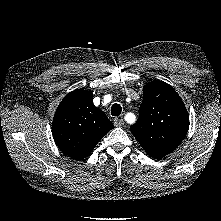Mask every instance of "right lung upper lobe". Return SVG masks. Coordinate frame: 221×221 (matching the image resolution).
I'll return each instance as SVG.
<instances>
[{
  "label": "right lung upper lobe",
  "mask_w": 221,
  "mask_h": 221,
  "mask_svg": "<svg viewBox=\"0 0 221 221\" xmlns=\"http://www.w3.org/2000/svg\"><path fill=\"white\" fill-rule=\"evenodd\" d=\"M113 129L106 114L95 107L91 91L74 90L59 104L52 123L54 140L67 156L80 160Z\"/></svg>",
  "instance_id": "right-lung-upper-lobe-1"
}]
</instances>
